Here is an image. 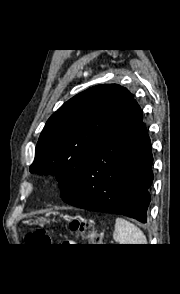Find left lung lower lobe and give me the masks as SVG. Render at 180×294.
Segmentation results:
<instances>
[{
	"mask_svg": "<svg viewBox=\"0 0 180 294\" xmlns=\"http://www.w3.org/2000/svg\"><path fill=\"white\" fill-rule=\"evenodd\" d=\"M152 162L150 138L135 100L92 156L76 190L62 199L146 223Z\"/></svg>",
	"mask_w": 180,
	"mask_h": 294,
	"instance_id": "left-lung-lower-lobe-1",
	"label": "left lung lower lobe"
}]
</instances>
